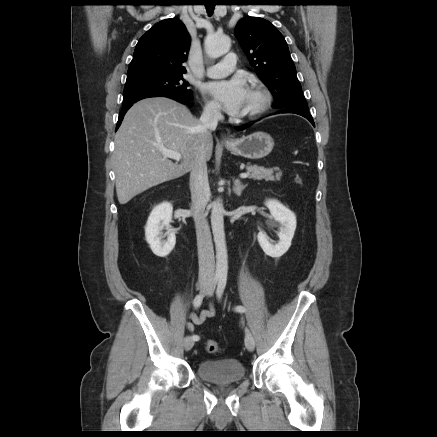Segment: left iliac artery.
Wrapping results in <instances>:
<instances>
[{
	"label": "left iliac artery",
	"mask_w": 437,
	"mask_h": 437,
	"mask_svg": "<svg viewBox=\"0 0 437 437\" xmlns=\"http://www.w3.org/2000/svg\"><path fill=\"white\" fill-rule=\"evenodd\" d=\"M226 282H227L226 277H221L219 279L217 290H216V294H217L218 299H221V297L223 295V292H224L225 287H226ZM235 310L238 312H245V308L243 306H236Z\"/></svg>",
	"instance_id": "1"
}]
</instances>
